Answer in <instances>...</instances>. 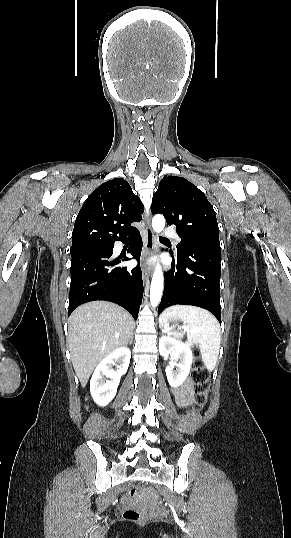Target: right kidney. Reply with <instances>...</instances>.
Instances as JSON below:
<instances>
[{"label": "right kidney", "instance_id": "obj_1", "mask_svg": "<svg viewBox=\"0 0 291 538\" xmlns=\"http://www.w3.org/2000/svg\"><path fill=\"white\" fill-rule=\"evenodd\" d=\"M130 358V349L119 347L97 365L90 381V392L96 404L106 406L115 397L121 376L127 372ZM115 363H118L116 371L112 369Z\"/></svg>", "mask_w": 291, "mask_h": 538}]
</instances>
